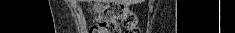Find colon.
I'll use <instances>...</instances> for the list:
<instances>
[{
    "instance_id": "5ec220e1",
    "label": "colon",
    "mask_w": 235,
    "mask_h": 33,
    "mask_svg": "<svg viewBox=\"0 0 235 33\" xmlns=\"http://www.w3.org/2000/svg\"><path fill=\"white\" fill-rule=\"evenodd\" d=\"M125 33H138L137 16L124 5L111 2L103 7L97 15L96 22L91 26L90 33H120V23Z\"/></svg>"
}]
</instances>
